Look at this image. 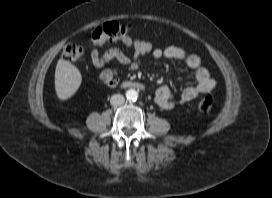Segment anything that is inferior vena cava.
Returning a JSON list of instances; mask_svg holds the SVG:
<instances>
[{
	"label": "inferior vena cava",
	"mask_w": 272,
	"mask_h": 198,
	"mask_svg": "<svg viewBox=\"0 0 272 198\" xmlns=\"http://www.w3.org/2000/svg\"><path fill=\"white\" fill-rule=\"evenodd\" d=\"M125 102V98L121 94H114L110 99V104L112 106H120Z\"/></svg>",
	"instance_id": "602c4592"
}]
</instances>
